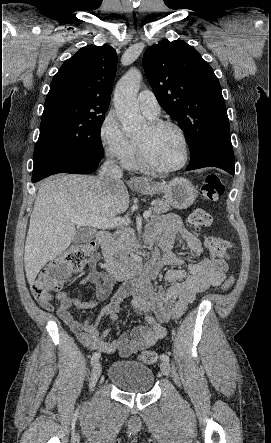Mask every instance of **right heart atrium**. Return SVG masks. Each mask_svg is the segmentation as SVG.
I'll use <instances>...</instances> for the list:
<instances>
[{
	"mask_svg": "<svg viewBox=\"0 0 271 443\" xmlns=\"http://www.w3.org/2000/svg\"><path fill=\"white\" fill-rule=\"evenodd\" d=\"M98 139L105 153L125 163L132 155L134 142L123 131L113 111L108 112L98 127Z\"/></svg>",
	"mask_w": 271,
	"mask_h": 443,
	"instance_id": "1",
	"label": "right heart atrium"
}]
</instances>
